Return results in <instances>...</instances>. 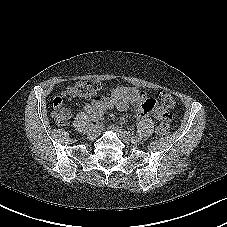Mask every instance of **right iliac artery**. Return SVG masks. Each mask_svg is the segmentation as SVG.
Listing matches in <instances>:
<instances>
[{"instance_id": "obj_1", "label": "right iliac artery", "mask_w": 227, "mask_h": 227, "mask_svg": "<svg viewBox=\"0 0 227 227\" xmlns=\"http://www.w3.org/2000/svg\"><path fill=\"white\" fill-rule=\"evenodd\" d=\"M94 117L93 126L98 127L99 123L101 122L100 118H103V113H98L96 116L94 115Z\"/></svg>"}]
</instances>
